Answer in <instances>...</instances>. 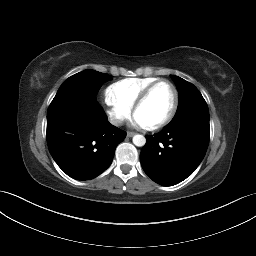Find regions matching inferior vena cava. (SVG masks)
<instances>
[{
    "mask_svg": "<svg viewBox=\"0 0 256 256\" xmlns=\"http://www.w3.org/2000/svg\"><path fill=\"white\" fill-rule=\"evenodd\" d=\"M110 122H111V124H113L115 126H119V125H122L123 120L122 119H117V118H111Z\"/></svg>",
    "mask_w": 256,
    "mask_h": 256,
    "instance_id": "1",
    "label": "inferior vena cava"
}]
</instances>
